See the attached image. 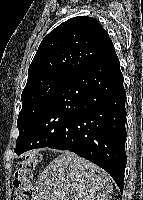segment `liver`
<instances>
[{
  "instance_id": "obj_1",
  "label": "liver",
  "mask_w": 143,
  "mask_h": 200,
  "mask_svg": "<svg viewBox=\"0 0 143 200\" xmlns=\"http://www.w3.org/2000/svg\"><path fill=\"white\" fill-rule=\"evenodd\" d=\"M110 182L103 169L64 151L40 174L31 200H111Z\"/></svg>"
}]
</instances>
